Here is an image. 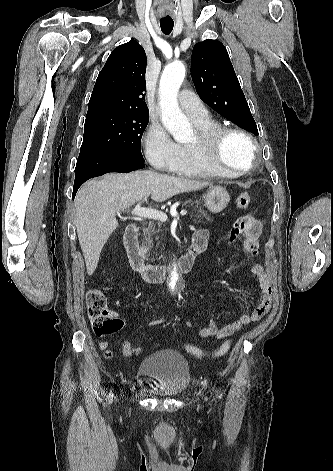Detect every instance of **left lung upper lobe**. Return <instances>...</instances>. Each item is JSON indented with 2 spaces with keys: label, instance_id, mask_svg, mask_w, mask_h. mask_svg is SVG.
Wrapping results in <instances>:
<instances>
[{
  "label": "left lung upper lobe",
  "instance_id": "left-lung-upper-lobe-1",
  "mask_svg": "<svg viewBox=\"0 0 333 471\" xmlns=\"http://www.w3.org/2000/svg\"><path fill=\"white\" fill-rule=\"evenodd\" d=\"M191 77L206 104L239 127L258 135L228 52L220 41L208 39L195 44Z\"/></svg>",
  "mask_w": 333,
  "mask_h": 471
}]
</instances>
